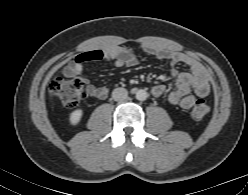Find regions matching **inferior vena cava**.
<instances>
[{
	"label": "inferior vena cava",
	"mask_w": 248,
	"mask_h": 195,
	"mask_svg": "<svg viewBox=\"0 0 248 195\" xmlns=\"http://www.w3.org/2000/svg\"><path fill=\"white\" fill-rule=\"evenodd\" d=\"M128 91L125 88L119 87L113 90L112 97L115 101H123L127 98Z\"/></svg>",
	"instance_id": "602c4592"
}]
</instances>
